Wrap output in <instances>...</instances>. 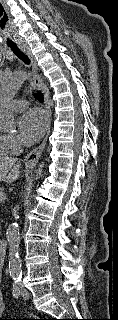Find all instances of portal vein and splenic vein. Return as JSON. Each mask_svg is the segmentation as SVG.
Returning a JSON list of instances; mask_svg holds the SVG:
<instances>
[{
	"label": "portal vein and splenic vein",
	"instance_id": "1",
	"mask_svg": "<svg viewBox=\"0 0 118 320\" xmlns=\"http://www.w3.org/2000/svg\"><path fill=\"white\" fill-rule=\"evenodd\" d=\"M6 198H7L6 193H4V192H0V202H2V201H4V200H6Z\"/></svg>",
	"mask_w": 118,
	"mask_h": 320
}]
</instances>
